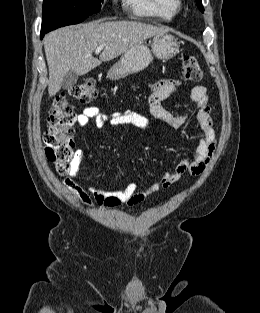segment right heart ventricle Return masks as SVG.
Listing matches in <instances>:
<instances>
[{
  "mask_svg": "<svg viewBox=\"0 0 260 313\" xmlns=\"http://www.w3.org/2000/svg\"><path fill=\"white\" fill-rule=\"evenodd\" d=\"M126 8L139 18L172 20L180 9L179 0H123Z\"/></svg>",
  "mask_w": 260,
  "mask_h": 313,
  "instance_id": "right-heart-ventricle-1",
  "label": "right heart ventricle"
}]
</instances>
